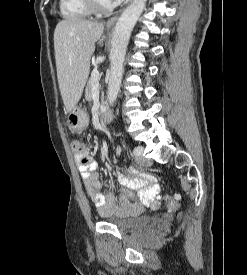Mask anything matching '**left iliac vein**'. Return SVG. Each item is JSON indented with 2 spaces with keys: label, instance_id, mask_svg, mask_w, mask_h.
Segmentation results:
<instances>
[{
  "label": "left iliac vein",
  "instance_id": "4c4485c4",
  "mask_svg": "<svg viewBox=\"0 0 247 275\" xmlns=\"http://www.w3.org/2000/svg\"><path fill=\"white\" fill-rule=\"evenodd\" d=\"M138 149V153L136 154L137 156V163L140 165V166H143V167H148L152 164L151 160L150 159H147L143 156V147L142 146H138L136 147Z\"/></svg>",
  "mask_w": 247,
  "mask_h": 275
}]
</instances>
